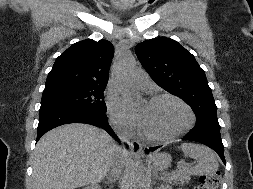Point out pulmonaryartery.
Here are the masks:
<instances>
[{
  "instance_id": "1",
  "label": "pulmonary artery",
  "mask_w": 253,
  "mask_h": 189,
  "mask_svg": "<svg viewBox=\"0 0 253 189\" xmlns=\"http://www.w3.org/2000/svg\"><path fill=\"white\" fill-rule=\"evenodd\" d=\"M134 84L140 88H147L150 86L151 82L147 74L137 73L134 77Z\"/></svg>"
}]
</instances>
